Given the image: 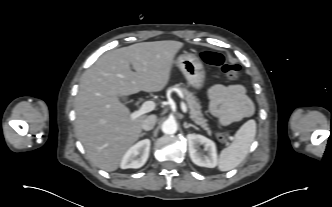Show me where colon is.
Returning a JSON list of instances; mask_svg holds the SVG:
<instances>
[{
  "label": "colon",
  "mask_w": 332,
  "mask_h": 207,
  "mask_svg": "<svg viewBox=\"0 0 332 207\" xmlns=\"http://www.w3.org/2000/svg\"><path fill=\"white\" fill-rule=\"evenodd\" d=\"M201 58L207 64L219 67L230 80L238 79L240 72L239 65L228 62L223 54L213 51H204L201 53ZM217 138L220 142L225 143L228 141L229 137L226 132L220 131L217 134Z\"/></svg>",
  "instance_id": "5ec220e1"
}]
</instances>
